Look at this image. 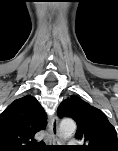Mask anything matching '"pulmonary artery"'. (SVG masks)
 <instances>
[{
    "label": "pulmonary artery",
    "mask_w": 118,
    "mask_h": 151,
    "mask_svg": "<svg viewBox=\"0 0 118 151\" xmlns=\"http://www.w3.org/2000/svg\"><path fill=\"white\" fill-rule=\"evenodd\" d=\"M70 143H71V144H76L77 141H76V140H71Z\"/></svg>",
    "instance_id": "obj_1"
}]
</instances>
